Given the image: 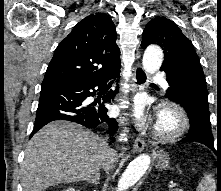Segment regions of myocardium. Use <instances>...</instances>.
I'll return each mask as SVG.
<instances>
[{"instance_id":"1","label":"myocardium","mask_w":221,"mask_h":191,"mask_svg":"<svg viewBox=\"0 0 221 191\" xmlns=\"http://www.w3.org/2000/svg\"><path fill=\"white\" fill-rule=\"evenodd\" d=\"M162 116L169 117L172 124L168 128H162L157 122L153 131L155 138L165 142L174 141L181 137L188 129V116L180 105L174 102H166L162 104L159 109L158 121Z\"/></svg>"}]
</instances>
